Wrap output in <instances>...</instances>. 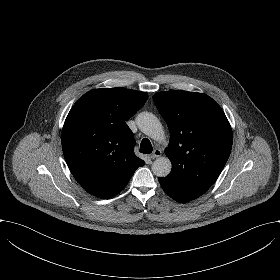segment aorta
Wrapping results in <instances>:
<instances>
[{
    "instance_id": "762f6f07",
    "label": "aorta",
    "mask_w": 280,
    "mask_h": 280,
    "mask_svg": "<svg viewBox=\"0 0 280 280\" xmlns=\"http://www.w3.org/2000/svg\"><path fill=\"white\" fill-rule=\"evenodd\" d=\"M136 121L139 129L149 138L161 143L167 141L163 125L154 114L142 112L137 116ZM171 169V160L166 156L158 157L152 165L153 173L160 177L167 176Z\"/></svg>"
}]
</instances>
